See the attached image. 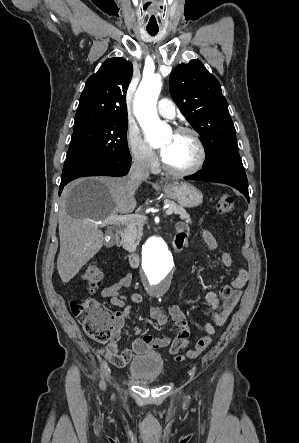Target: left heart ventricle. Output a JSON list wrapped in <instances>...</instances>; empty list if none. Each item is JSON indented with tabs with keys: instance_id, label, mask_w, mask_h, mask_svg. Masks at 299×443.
Instances as JSON below:
<instances>
[{
	"instance_id": "1",
	"label": "left heart ventricle",
	"mask_w": 299,
	"mask_h": 443,
	"mask_svg": "<svg viewBox=\"0 0 299 443\" xmlns=\"http://www.w3.org/2000/svg\"><path fill=\"white\" fill-rule=\"evenodd\" d=\"M163 161L173 169H185L197 158L194 140L188 134L168 133L159 143Z\"/></svg>"
}]
</instances>
